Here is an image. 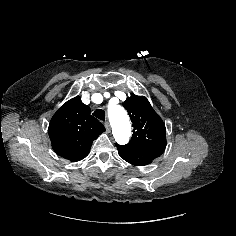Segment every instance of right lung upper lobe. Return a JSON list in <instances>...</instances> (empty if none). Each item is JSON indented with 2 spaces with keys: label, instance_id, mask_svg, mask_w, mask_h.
<instances>
[{
  "label": "right lung upper lobe",
  "instance_id": "right-lung-upper-lobe-1",
  "mask_svg": "<svg viewBox=\"0 0 236 236\" xmlns=\"http://www.w3.org/2000/svg\"><path fill=\"white\" fill-rule=\"evenodd\" d=\"M90 108L76 96L63 104L51 118L49 137L53 150L77 162L88 155L92 142L105 127L90 115Z\"/></svg>",
  "mask_w": 236,
  "mask_h": 236
}]
</instances>
